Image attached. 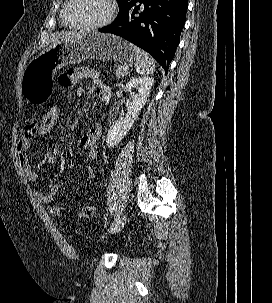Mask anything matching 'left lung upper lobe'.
Instances as JSON below:
<instances>
[{"mask_svg": "<svg viewBox=\"0 0 272 303\" xmlns=\"http://www.w3.org/2000/svg\"><path fill=\"white\" fill-rule=\"evenodd\" d=\"M138 0H117L119 6H120V13L119 16H122L125 14V12L132 7Z\"/></svg>", "mask_w": 272, "mask_h": 303, "instance_id": "left-lung-upper-lobe-1", "label": "left lung upper lobe"}]
</instances>
